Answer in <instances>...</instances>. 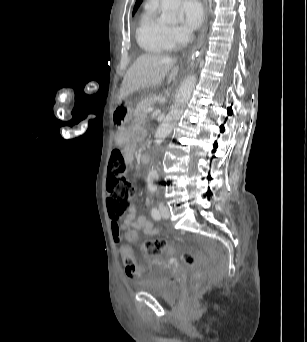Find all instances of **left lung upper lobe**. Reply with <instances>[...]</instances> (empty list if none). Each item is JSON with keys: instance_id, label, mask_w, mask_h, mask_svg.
Returning a JSON list of instances; mask_svg holds the SVG:
<instances>
[{"instance_id": "obj_1", "label": "left lung upper lobe", "mask_w": 307, "mask_h": 342, "mask_svg": "<svg viewBox=\"0 0 307 342\" xmlns=\"http://www.w3.org/2000/svg\"><path fill=\"white\" fill-rule=\"evenodd\" d=\"M143 0H137L136 4H135V7H134V10H133V14L135 13V11L137 10L138 6L140 5V3L142 2Z\"/></svg>"}]
</instances>
